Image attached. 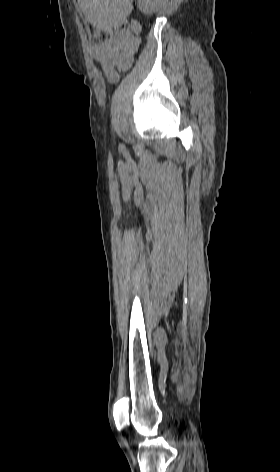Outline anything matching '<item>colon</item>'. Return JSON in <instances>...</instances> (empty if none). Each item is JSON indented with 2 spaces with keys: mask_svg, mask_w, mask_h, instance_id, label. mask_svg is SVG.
<instances>
[{
  "mask_svg": "<svg viewBox=\"0 0 280 472\" xmlns=\"http://www.w3.org/2000/svg\"><path fill=\"white\" fill-rule=\"evenodd\" d=\"M128 32V25L122 24L119 25L114 30H98L95 29L92 31V41L95 46H103L108 44L112 40L114 34L121 35ZM129 59L124 58L118 63V68L124 69L129 66Z\"/></svg>",
  "mask_w": 280,
  "mask_h": 472,
  "instance_id": "colon-1",
  "label": "colon"
}]
</instances>
